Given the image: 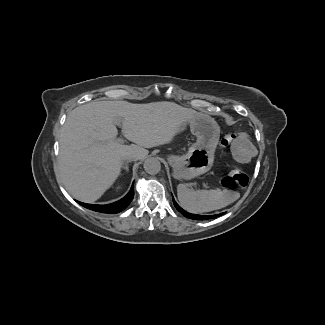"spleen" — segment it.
I'll return each mask as SVG.
<instances>
[{
	"label": "spleen",
	"instance_id": "3e777b00",
	"mask_svg": "<svg viewBox=\"0 0 325 325\" xmlns=\"http://www.w3.org/2000/svg\"><path fill=\"white\" fill-rule=\"evenodd\" d=\"M179 200L181 205L192 213H202L219 209L229 204L223 200V193L206 194L194 191L189 184L179 186Z\"/></svg>",
	"mask_w": 325,
	"mask_h": 325
}]
</instances>
